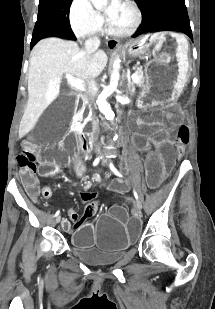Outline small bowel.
<instances>
[{
	"mask_svg": "<svg viewBox=\"0 0 215 309\" xmlns=\"http://www.w3.org/2000/svg\"><path fill=\"white\" fill-rule=\"evenodd\" d=\"M124 189V186H120V190ZM28 192L32 198H36L39 195V189L34 181L32 184L28 185Z\"/></svg>",
	"mask_w": 215,
	"mask_h": 309,
	"instance_id": "c3829d8e",
	"label": "small bowel"
}]
</instances>
